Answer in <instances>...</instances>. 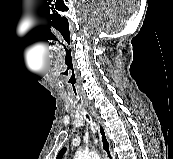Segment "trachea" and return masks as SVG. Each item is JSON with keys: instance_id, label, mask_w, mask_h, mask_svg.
<instances>
[{"instance_id": "1", "label": "trachea", "mask_w": 173, "mask_h": 159, "mask_svg": "<svg viewBox=\"0 0 173 159\" xmlns=\"http://www.w3.org/2000/svg\"><path fill=\"white\" fill-rule=\"evenodd\" d=\"M74 83H76V81L75 82H73V85H74ZM74 91H75V88H74ZM88 117V116H87Z\"/></svg>"}]
</instances>
